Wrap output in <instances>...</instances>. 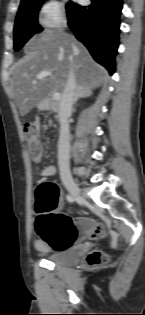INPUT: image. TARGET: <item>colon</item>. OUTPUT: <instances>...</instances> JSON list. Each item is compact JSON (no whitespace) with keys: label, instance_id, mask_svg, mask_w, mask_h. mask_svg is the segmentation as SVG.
<instances>
[{"label":"colon","instance_id":"1","mask_svg":"<svg viewBox=\"0 0 145 315\" xmlns=\"http://www.w3.org/2000/svg\"><path fill=\"white\" fill-rule=\"evenodd\" d=\"M24 134L30 154L39 160L42 148L38 133L32 124H25ZM60 191L53 182L41 183L35 193L36 231L41 239L56 250L72 246L83 238H99L104 235L101 224L89 218L72 219L58 211ZM90 265H98L106 260L100 252L91 253Z\"/></svg>","mask_w":145,"mask_h":315}]
</instances>
